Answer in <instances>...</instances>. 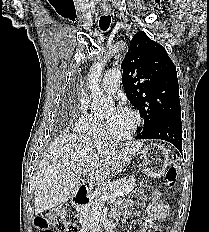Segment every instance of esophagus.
Here are the masks:
<instances>
[{
	"instance_id": "34e87169",
	"label": "esophagus",
	"mask_w": 209,
	"mask_h": 232,
	"mask_svg": "<svg viewBox=\"0 0 209 232\" xmlns=\"http://www.w3.org/2000/svg\"><path fill=\"white\" fill-rule=\"evenodd\" d=\"M103 13H104L105 15H108V14L111 13V10H110V9H104V10H103Z\"/></svg>"
}]
</instances>
